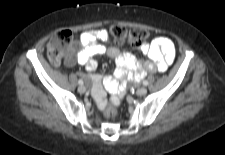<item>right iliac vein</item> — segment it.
<instances>
[{
	"label": "right iliac vein",
	"mask_w": 225,
	"mask_h": 155,
	"mask_svg": "<svg viewBox=\"0 0 225 155\" xmlns=\"http://www.w3.org/2000/svg\"><path fill=\"white\" fill-rule=\"evenodd\" d=\"M86 91V87L84 86V85H80L79 87H78V92L79 93H84Z\"/></svg>",
	"instance_id": "obj_1"
}]
</instances>
